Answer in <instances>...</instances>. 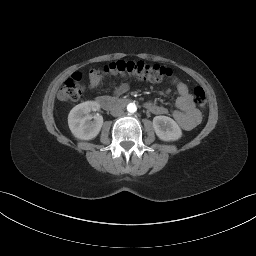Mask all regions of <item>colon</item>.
<instances>
[{"instance_id":"obj_1","label":"colon","mask_w":256,"mask_h":256,"mask_svg":"<svg viewBox=\"0 0 256 256\" xmlns=\"http://www.w3.org/2000/svg\"><path fill=\"white\" fill-rule=\"evenodd\" d=\"M105 75H128L138 79L162 82L171 78V69L158 64L144 61L118 60L105 65L102 69L93 68L88 71L89 82L98 86ZM83 75L73 73L64 83L60 92L61 99L65 101H78L83 93ZM193 102L199 109L207 106V98L203 88L197 86L193 90Z\"/></svg>"}]
</instances>
